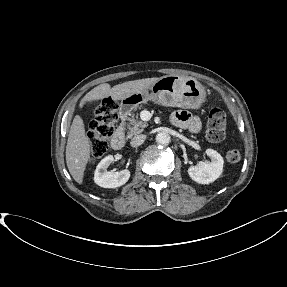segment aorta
Instances as JSON below:
<instances>
[{
  "label": "aorta",
  "mask_w": 287,
  "mask_h": 287,
  "mask_svg": "<svg viewBox=\"0 0 287 287\" xmlns=\"http://www.w3.org/2000/svg\"><path fill=\"white\" fill-rule=\"evenodd\" d=\"M171 141V137L167 132H159L156 135V142L160 145H168Z\"/></svg>",
  "instance_id": "762f6f07"
}]
</instances>
